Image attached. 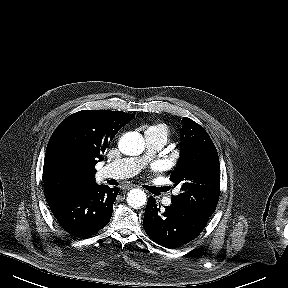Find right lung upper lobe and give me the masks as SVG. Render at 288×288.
<instances>
[{
  "instance_id": "1",
  "label": "right lung upper lobe",
  "mask_w": 288,
  "mask_h": 288,
  "mask_svg": "<svg viewBox=\"0 0 288 288\" xmlns=\"http://www.w3.org/2000/svg\"><path fill=\"white\" fill-rule=\"evenodd\" d=\"M134 115L121 111L82 110L67 117L46 149L43 177L46 199L95 184V165L115 134Z\"/></svg>"
}]
</instances>
